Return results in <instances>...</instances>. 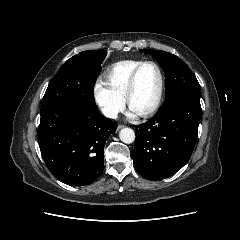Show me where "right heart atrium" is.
Instances as JSON below:
<instances>
[{"label":"right heart atrium","mask_w":240,"mask_h":240,"mask_svg":"<svg viewBox=\"0 0 240 240\" xmlns=\"http://www.w3.org/2000/svg\"><path fill=\"white\" fill-rule=\"evenodd\" d=\"M92 95L100 111L110 119H115L125 106L124 97L117 94L102 80L94 83Z\"/></svg>","instance_id":"d8ad5b80"}]
</instances>
